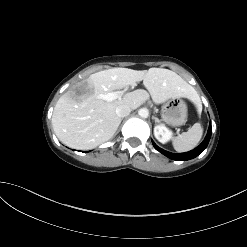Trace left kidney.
Instances as JSON below:
<instances>
[{
    "label": "left kidney",
    "instance_id": "obj_1",
    "mask_svg": "<svg viewBox=\"0 0 247 247\" xmlns=\"http://www.w3.org/2000/svg\"><path fill=\"white\" fill-rule=\"evenodd\" d=\"M154 136L160 143L165 144L172 138V132L165 125H156Z\"/></svg>",
    "mask_w": 247,
    "mask_h": 247
}]
</instances>
